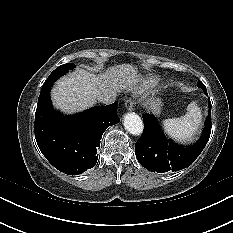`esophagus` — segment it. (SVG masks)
Masks as SVG:
<instances>
[{
    "mask_svg": "<svg viewBox=\"0 0 233 233\" xmlns=\"http://www.w3.org/2000/svg\"><path fill=\"white\" fill-rule=\"evenodd\" d=\"M133 105H134V103H133V101L132 100H126L125 101V107L129 110V111H132L133 110Z\"/></svg>",
    "mask_w": 233,
    "mask_h": 233,
    "instance_id": "1",
    "label": "esophagus"
}]
</instances>
